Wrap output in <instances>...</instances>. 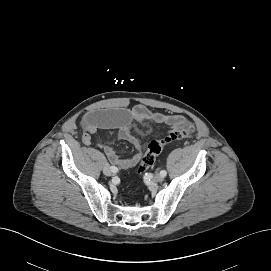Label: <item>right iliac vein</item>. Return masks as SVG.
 I'll return each mask as SVG.
<instances>
[{
	"mask_svg": "<svg viewBox=\"0 0 271 271\" xmlns=\"http://www.w3.org/2000/svg\"><path fill=\"white\" fill-rule=\"evenodd\" d=\"M103 172L107 176H111L113 174V172L111 171L110 167H108V166L104 167Z\"/></svg>",
	"mask_w": 271,
	"mask_h": 271,
	"instance_id": "right-iliac-vein-1",
	"label": "right iliac vein"
}]
</instances>
